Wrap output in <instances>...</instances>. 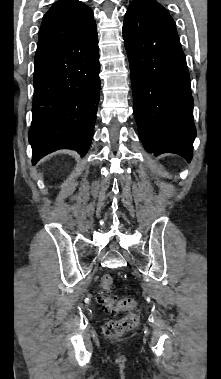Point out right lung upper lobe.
<instances>
[{
    "label": "right lung upper lobe",
    "mask_w": 221,
    "mask_h": 379,
    "mask_svg": "<svg viewBox=\"0 0 221 379\" xmlns=\"http://www.w3.org/2000/svg\"><path fill=\"white\" fill-rule=\"evenodd\" d=\"M95 20L92 10L78 0H58L44 15L36 53L70 41Z\"/></svg>",
    "instance_id": "cb5924a9"
}]
</instances>
